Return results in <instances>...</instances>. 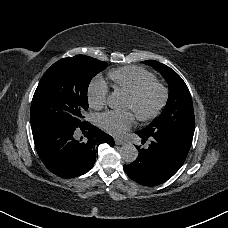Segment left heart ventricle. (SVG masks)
Returning a JSON list of instances; mask_svg holds the SVG:
<instances>
[{
  "label": "left heart ventricle",
  "mask_w": 228,
  "mask_h": 228,
  "mask_svg": "<svg viewBox=\"0 0 228 228\" xmlns=\"http://www.w3.org/2000/svg\"><path fill=\"white\" fill-rule=\"evenodd\" d=\"M158 100V92L155 91L149 95H147L144 100L140 104H133L128 98L126 104L123 109L120 111H130L131 113L138 115H147L149 114L155 107Z\"/></svg>",
  "instance_id": "obj_1"
}]
</instances>
